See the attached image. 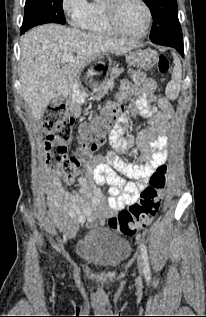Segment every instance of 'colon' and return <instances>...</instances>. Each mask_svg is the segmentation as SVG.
I'll use <instances>...</instances> for the list:
<instances>
[{
    "label": "colon",
    "mask_w": 206,
    "mask_h": 317,
    "mask_svg": "<svg viewBox=\"0 0 206 317\" xmlns=\"http://www.w3.org/2000/svg\"><path fill=\"white\" fill-rule=\"evenodd\" d=\"M142 65L156 67L160 74L169 69L167 57L162 53H150ZM140 72L133 73V81L125 80L117 97L105 106L101 116L96 117L80 128L79 148L76 154L69 156L67 147L72 139L74 120L63 106L48 109L42 119V128L47 134L45 151L47 165L54 169L66 181L88 172L94 164V154L105 142V135L112 120L123 110L122 99L131 96L136 91V84L143 80ZM167 166L156 169L149 179V184L140 193V198L128 209L121 210L109 219V226L125 235H134L138 230L147 227L156 216L164 195Z\"/></svg>",
    "instance_id": "1"
}]
</instances>
